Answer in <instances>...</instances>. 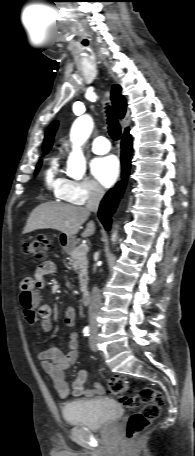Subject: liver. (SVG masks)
Here are the masks:
<instances>
[{
	"mask_svg": "<svg viewBox=\"0 0 195 456\" xmlns=\"http://www.w3.org/2000/svg\"><path fill=\"white\" fill-rule=\"evenodd\" d=\"M89 215L90 212L84 207L56 202L43 203L31 212L23 232L30 233L38 229H54L67 236H74ZM94 233L95 225L93 221H90L82 233V237H89Z\"/></svg>",
	"mask_w": 195,
	"mask_h": 456,
	"instance_id": "liver-1",
	"label": "liver"
}]
</instances>
